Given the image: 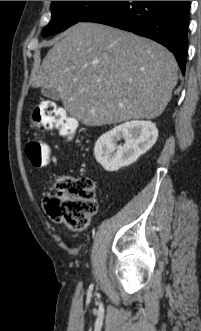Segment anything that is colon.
Instances as JSON below:
<instances>
[{
    "label": "colon",
    "mask_w": 201,
    "mask_h": 331,
    "mask_svg": "<svg viewBox=\"0 0 201 331\" xmlns=\"http://www.w3.org/2000/svg\"><path fill=\"white\" fill-rule=\"evenodd\" d=\"M34 123L45 129H57L61 135L72 139L77 124L66 112L52 101H43L34 110ZM25 153L37 167L48 165L52 159L51 146L36 137L28 140ZM44 207L56 222L74 231L84 230L97 211L95 184L90 178H60L54 194L45 198Z\"/></svg>",
    "instance_id": "obj_1"
}]
</instances>
